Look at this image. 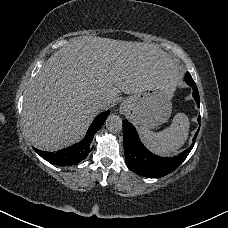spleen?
I'll return each mask as SVG.
<instances>
[{
    "label": "spleen",
    "mask_w": 228,
    "mask_h": 228,
    "mask_svg": "<svg viewBox=\"0 0 228 228\" xmlns=\"http://www.w3.org/2000/svg\"><path fill=\"white\" fill-rule=\"evenodd\" d=\"M189 122L184 113L176 114L170 126L160 132H153L141 125L143 140L153 151L170 155L186 140Z\"/></svg>",
    "instance_id": "1"
}]
</instances>
